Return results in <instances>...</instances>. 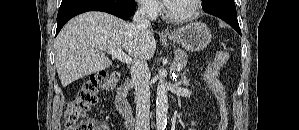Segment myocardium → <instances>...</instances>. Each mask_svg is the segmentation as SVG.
I'll use <instances>...</instances> for the list:
<instances>
[{
	"label": "myocardium",
	"mask_w": 299,
	"mask_h": 130,
	"mask_svg": "<svg viewBox=\"0 0 299 130\" xmlns=\"http://www.w3.org/2000/svg\"><path fill=\"white\" fill-rule=\"evenodd\" d=\"M192 1H193V5L191 10L181 15L172 14L169 10V3H165L164 14L166 18L170 19L171 21L179 22V23L187 22L194 19L198 15L201 9L202 1L201 0H192Z\"/></svg>",
	"instance_id": "1"
}]
</instances>
